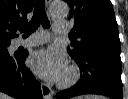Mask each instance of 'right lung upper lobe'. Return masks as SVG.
<instances>
[{
    "mask_svg": "<svg viewBox=\"0 0 128 99\" xmlns=\"http://www.w3.org/2000/svg\"><path fill=\"white\" fill-rule=\"evenodd\" d=\"M33 4L34 0H0V42H10L17 36L16 27L27 22Z\"/></svg>",
    "mask_w": 128,
    "mask_h": 99,
    "instance_id": "right-lung-upper-lobe-1",
    "label": "right lung upper lobe"
}]
</instances>
